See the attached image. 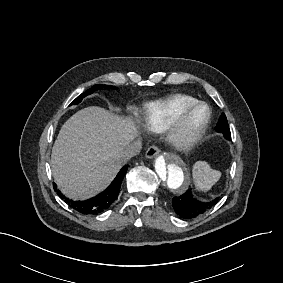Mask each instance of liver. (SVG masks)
<instances>
[{
    "label": "liver",
    "instance_id": "1",
    "mask_svg": "<svg viewBox=\"0 0 283 283\" xmlns=\"http://www.w3.org/2000/svg\"><path fill=\"white\" fill-rule=\"evenodd\" d=\"M136 136L127 120L102 108L89 107L69 118L60 130L51 155L57 185L72 199H86L115 177L120 155Z\"/></svg>",
    "mask_w": 283,
    "mask_h": 283
}]
</instances>
